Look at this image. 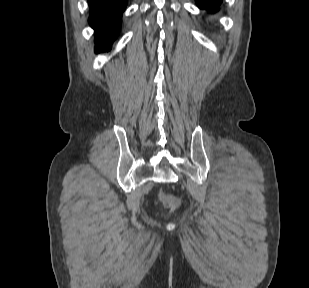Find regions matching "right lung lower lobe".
I'll return each instance as SVG.
<instances>
[{
    "mask_svg": "<svg viewBox=\"0 0 309 288\" xmlns=\"http://www.w3.org/2000/svg\"><path fill=\"white\" fill-rule=\"evenodd\" d=\"M90 7L89 23L95 30V50L110 49L120 30L122 12L127 0H88Z\"/></svg>",
    "mask_w": 309,
    "mask_h": 288,
    "instance_id": "1",
    "label": "right lung lower lobe"
}]
</instances>
